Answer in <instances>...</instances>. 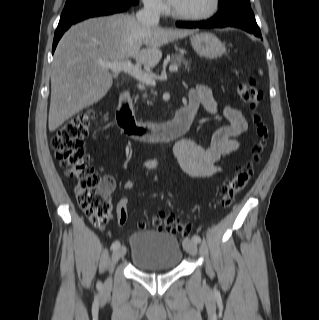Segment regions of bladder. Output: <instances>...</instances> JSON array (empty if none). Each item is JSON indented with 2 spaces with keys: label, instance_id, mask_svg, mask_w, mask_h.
Here are the masks:
<instances>
[{
  "label": "bladder",
  "instance_id": "bladder-1",
  "mask_svg": "<svg viewBox=\"0 0 319 320\" xmlns=\"http://www.w3.org/2000/svg\"><path fill=\"white\" fill-rule=\"evenodd\" d=\"M130 261L140 271L176 269L183 259V247L173 234L159 230H140L129 237Z\"/></svg>",
  "mask_w": 319,
  "mask_h": 320
}]
</instances>
